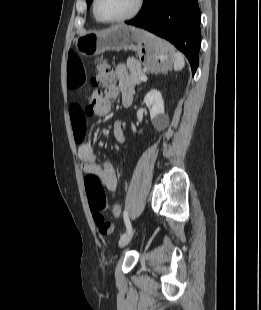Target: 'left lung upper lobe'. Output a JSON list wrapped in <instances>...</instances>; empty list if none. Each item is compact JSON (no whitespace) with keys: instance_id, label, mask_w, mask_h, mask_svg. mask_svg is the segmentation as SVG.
Listing matches in <instances>:
<instances>
[{"instance_id":"obj_1","label":"left lung upper lobe","mask_w":261,"mask_h":310,"mask_svg":"<svg viewBox=\"0 0 261 310\" xmlns=\"http://www.w3.org/2000/svg\"><path fill=\"white\" fill-rule=\"evenodd\" d=\"M86 2H87V5L89 7V5L91 4L92 0H86Z\"/></svg>"}]
</instances>
